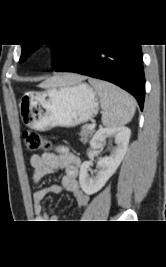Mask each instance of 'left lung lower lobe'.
<instances>
[{"label": "left lung lower lobe", "instance_id": "left-lung-lower-lobe-1", "mask_svg": "<svg viewBox=\"0 0 166 267\" xmlns=\"http://www.w3.org/2000/svg\"><path fill=\"white\" fill-rule=\"evenodd\" d=\"M54 70L114 83L132 94L143 109L145 77L141 45L68 44Z\"/></svg>", "mask_w": 166, "mask_h": 267}]
</instances>
